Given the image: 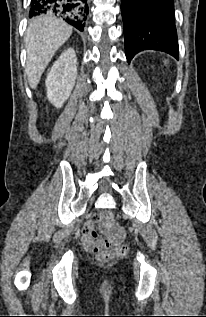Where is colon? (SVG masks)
Instances as JSON below:
<instances>
[{"label":"colon","instance_id":"colon-1","mask_svg":"<svg viewBox=\"0 0 206 317\" xmlns=\"http://www.w3.org/2000/svg\"><path fill=\"white\" fill-rule=\"evenodd\" d=\"M103 221L110 222L113 214L110 211H104L97 216ZM87 249L94 253L101 261H110L124 255L128 247L125 243H115L109 236H97L94 232L86 244Z\"/></svg>","mask_w":206,"mask_h":317}]
</instances>
